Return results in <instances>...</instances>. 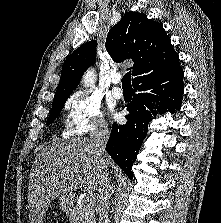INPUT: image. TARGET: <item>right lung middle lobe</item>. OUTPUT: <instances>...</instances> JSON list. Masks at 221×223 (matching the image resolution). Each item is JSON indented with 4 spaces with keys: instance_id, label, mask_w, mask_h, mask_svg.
<instances>
[{
    "instance_id": "right-lung-middle-lobe-1",
    "label": "right lung middle lobe",
    "mask_w": 221,
    "mask_h": 223,
    "mask_svg": "<svg viewBox=\"0 0 221 223\" xmlns=\"http://www.w3.org/2000/svg\"><path fill=\"white\" fill-rule=\"evenodd\" d=\"M66 100H67V98L58 99V100L53 101L52 109H51L49 119H48V125L51 124L53 122V120L59 115V113L61 112V110L64 107Z\"/></svg>"
}]
</instances>
